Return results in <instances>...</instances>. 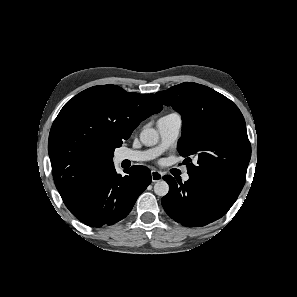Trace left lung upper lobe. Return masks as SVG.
Listing matches in <instances>:
<instances>
[{
  "instance_id": "obj_1",
  "label": "left lung upper lobe",
  "mask_w": 297,
  "mask_h": 297,
  "mask_svg": "<svg viewBox=\"0 0 297 297\" xmlns=\"http://www.w3.org/2000/svg\"><path fill=\"white\" fill-rule=\"evenodd\" d=\"M156 96L181 114L182 136L177 150L186 158L189 177L235 202L251 157L245 120L238 107L197 83L185 82ZM192 157L196 165L190 163Z\"/></svg>"
}]
</instances>
